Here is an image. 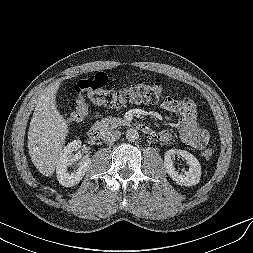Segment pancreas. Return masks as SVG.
<instances>
[{"instance_id":"pancreas-1","label":"pancreas","mask_w":253,"mask_h":253,"mask_svg":"<svg viewBox=\"0 0 253 253\" xmlns=\"http://www.w3.org/2000/svg\"><path fill=\"white\" fill-rule=\"evenodd\" d=\"M127 122L122 118L107 117L103 118L101 121H97L95 125L102 131L106 132L108 130L114 129L121 125H126Z\"/></svg>"}]
</instances>
